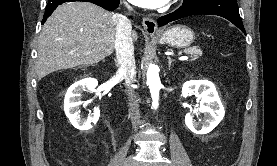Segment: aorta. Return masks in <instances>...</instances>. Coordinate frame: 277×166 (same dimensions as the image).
<instances>
[{
    "label": "aorta",
    "mask_w": 277,
    "mask_h": 166,
    "mask_svg": "<svg viewBox=\"0 0 277 166\" xmlns=\"http://www.w3.org/2000/svg\"><path fill=\"white\" fill-rule=\"evenodd\" d=\"M147 84L150 89L153 108L156 109L158 107L159 91L161 88V82H160V77H159V69L154 64H151L148 67Z\"/></svg>",
    "instance_id": "obj_1"
}]
</instances>
